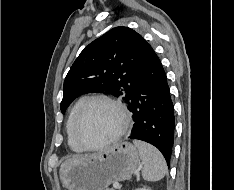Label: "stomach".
Returning a JSON list of instances; mask_svg holds the SVG:
<instances>
[{"instance_id":"obj_1","label":"stomach","mask_w":234,"mask_h":190,"mask_svg":"<svg viewBox=\"0 0 234 190\" xmlns=\"http://www.w3.org/2000/svg\"><path fill=\"white\" fill-rule=\"evenodd\" d=\"M140 154L136 146L124 141L94 155H80L60 166V179L68 190H107L136 171Z\"/></svg>"}]
</instances>
